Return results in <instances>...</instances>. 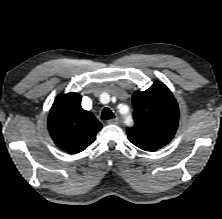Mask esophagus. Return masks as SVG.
Segmentation results:
<instances>
[{
    "label": "esophagus",
    "mask_w": 222,
    "mask_h": 219,
    "mask_svg": "<svg viewBox=\"0 0 222 219\" xmlns=\"http://www.w3.org/2000/svg\"><path fill=\"white\" fill-rule=\"evenodd\" d=\"M118 123H119V119L118 118H114V119H111V120L107 121V124H118Z\"/></svg>",
    "instance_id": "esophagus-1"
}]
</instances>
